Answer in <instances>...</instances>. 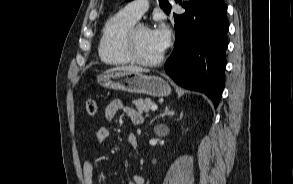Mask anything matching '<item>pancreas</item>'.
Here are the masks:
<instances>
[{
	"label": "pancreas",
	"mask_w": 293,
	"mask_h": 184,
	"mask_svg": "<svg viewBox=\"0 0 293 184\" xmlns=\"http://www.w3.org/2000/svg\"><path fill=\"white\" fill-rule=\"evenodd\" d=\"M133 103L140 113H146V115H148L151 106L154 105V103L150 99L141 98L138 100H134Z\"/></svg>",
	"instance_id": "1"
}]
</instances>
